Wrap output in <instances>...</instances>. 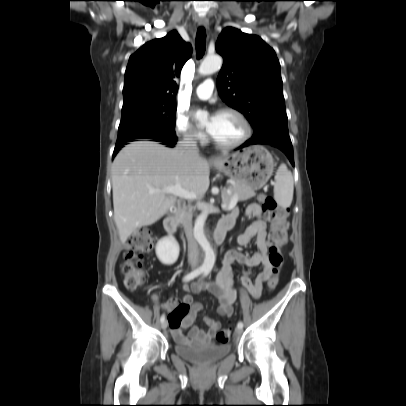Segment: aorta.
I'll list each match as a JSON object with an SVG mask.
<instances>
[{"mask_svg": "<svg viewBox=\"0 0 406 406\" xmlns=\"http://www.w3.org/2000/svg\"><path fill=\"white\" fill-rule=\"evenodd\" d=\"M223 60L219 55H212L207 56L201 63L198 72L200 75H210L218 70H220L222 66ZM196 119L200 122V124H204L208 118V114L205 111H198L195 114ZM207 218V213L202 212L196 219L194 225V237L196 241L199 243L201 248L205 253L204 262L202 264V268L205 270H211L215 263V253L213 251L212 246L210 245L209 241L207 240L204 234V224Z\"/></svg>", "mask_w": 406, "mask_h": 406, "instance_id": "1", "label": "aorta"}]
</instances>
